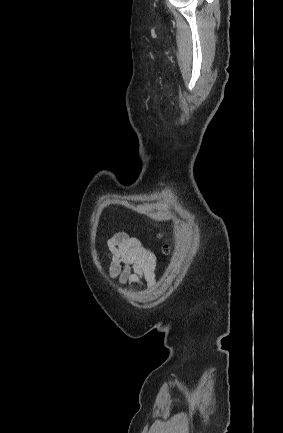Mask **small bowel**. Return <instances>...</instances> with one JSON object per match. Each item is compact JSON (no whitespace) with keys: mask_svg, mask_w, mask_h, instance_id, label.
I'll use <instances>...</instances> for the list:
<instances>
[{"mask_svg":"<svg viewBox=\"0 0 283 433\" xmlns=\"http://www.w3.org/2000/svg\"><path fill=\"white\" fill-rule=\"evenodd\" d=\"M107 254L111 277L123 284L154 285L156 257L137 238L124 232L113 234L107 242Z\"/></svg>","mask_w":283,"mask_h":433,"instance_id":"c3829d8e","label":"small bowel"}]
</instances>
